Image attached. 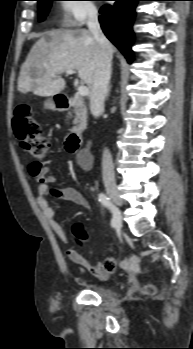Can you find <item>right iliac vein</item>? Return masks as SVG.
<instances>
[{
    "instance_id": "1",
    "label": "right iliac vein",
    "mask_w": 193,
    "mask_h": 349,
    "mask_svg": "<svg viewBox=\"0 0 193 349\" xmlns=\"http://www.w3.org/2000/svg\"><path fill=\"white\" fill-rule=\"evenodd\" d=\"M107 194H108V196L111 198V200L113 201V203L116 206V210H115L116 214L114 215V217L116 219L114 221H115V225L120 227L122 225L120 208L123 205V200L120 197V195H119L118 191L116 190V188H114V187L107 188Z\"/></svg>"
}]
</instances>
